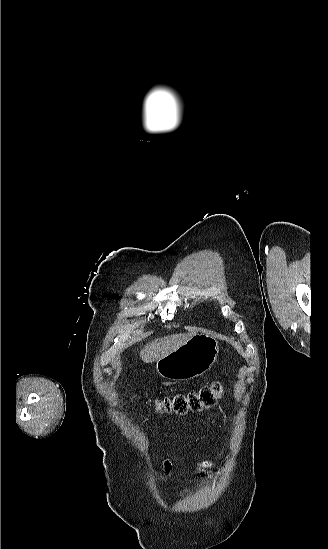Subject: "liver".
<instances>
[{
    "label": "liver",
    "mask_w": 328,
    "mask_h": 549,
    "mask_svg": "<svg viewBox=\"0 0 328 549\" xmlns=\"http://www.w3.org/2000/svg\"><path fill=\"white\" fill-rule=\"evenodd\" d=\"M193 335H196V331L192 333H180V335H169V337H163V339H156L152 343L145 345L140 351V357L143 363H154L161 357H166L172 351L179 349L181 345H184L186 341H189Z\"/></svg>",
    "instance_id": "6515ba94"
}]
</instances>
